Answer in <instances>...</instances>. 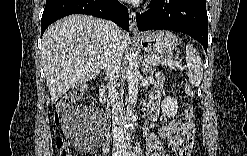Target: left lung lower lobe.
<instances>
[{"label":"left lung lower lobe","instance_id":"left-lung-lower-lobe-1","mask_svg":"<svg viewBox=\"0 0 247 156\" xmlns=\"http://www.w3.org/2000/svg\"><path fill=\"white\" fill-rule=\"evenodd\" d=\"M148 11L136 14L140 31L152 29L186 33L208 47L206 0H151Z\"/></svg>","mask_w":247,"mask_h":156}]
</instances>
